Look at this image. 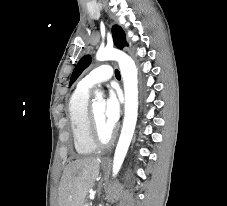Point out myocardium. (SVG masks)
Returning <instances> with one entry per match:
<instances>
[{"label": "myocardium", "mask_w": 227, "mask_h": 206, "mask_svg": "<svg viewBox=\"0 0 227 206\" xmlns=\"http://www.w3.org/2000/svg\"><path fill=\"white\" fill-rule=\"evenodd\" d=\"M88 122H89V134H90L91 140L96 146L106 147L113 142L115 138L114 130H112L110 135L105 139L102 138V136L100 135L92 105L89 106V109H88Z\"/></svg>", "instance_id": "f54148a6"}]
</instances>
